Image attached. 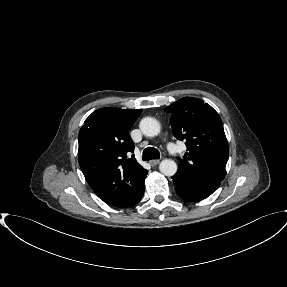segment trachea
<instances>
[{
  "instance_id": "obj_1",
  "label": "trachea",
  "mask_w": 287,
  "mask_h": 287,
  "mask_svg": "<svg viewBox=\"0 0 287 287\" xmlns=\"http://www.w3.org/2000/svg\"><path fill=\"white\" fill-rule=\"evenodd\" d=\"M160 153L159 151L154 147H147L143 151L142 159L144 161L152 160V159H159Z\"/></svg>"
}]
</instances>
